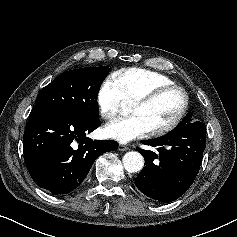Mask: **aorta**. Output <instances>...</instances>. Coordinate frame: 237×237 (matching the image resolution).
I'll return each mask as SVG.
<instances>
[{"label": "aorta", "instance_id": "762f6f07", "mask_svg": "<svg viewBox=\"0 0 237 237\" xmlns=\"http://www.w3.org/2000/svg\"><path fill=\"white\" fill-rule=\"evenodd\" d=\"M126 171L135 173L140 171L144 166L143 156L136 151L127 152L122 159Z\"/></svg>", "mask_w": 237, "mask_h": 237}]
</instances>
